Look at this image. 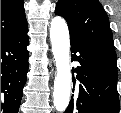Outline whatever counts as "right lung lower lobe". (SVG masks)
Returning a JSON list of instances; mask_svg holds the SVG:
<instances>
[{
    "instance_id": "obj_1",
    "label": "right lung lower lobe",
    "mask_w": 121,
    "mask_h": 113,
    "mask_svg": "<svg viewBox=\"0 0 121 113\" xmlns=\"http://www.w3.org/2000/svg\"><path fill=\"white\" fill-rule=\"evenodd\" d=\"M28 28L1 40V113H18L28 72Z\"/></svg>"
}]
</instances>
